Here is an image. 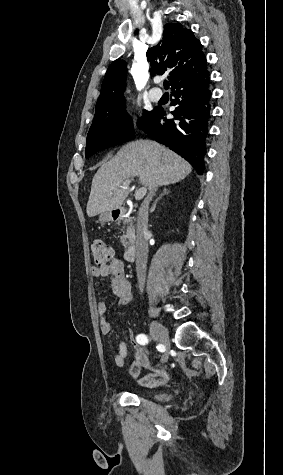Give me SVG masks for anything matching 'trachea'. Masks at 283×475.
Returning <instances> with one entry per match:
<instances>
[{"label":"trachea","instance_id":"3493384b","mask_svg":"<svg viewBox=\"0 0 283 475\" xmlns=\"http://www.w3.org/2000/svg\"><path fill=\"white\" fill-rule=\"evenodd\" d=\"M164 88H165V90H168V88H169V82H167V81L164 82Z\"/></svg>","mask_w":283,"mask_h":475}]
</instances>
